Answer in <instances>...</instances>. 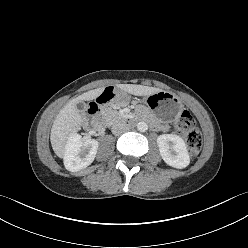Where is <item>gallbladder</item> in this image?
I'll list each match as a JSON object with an SVG mask.
<instances>
[{"instance_id": "bac80fb5", "label": "gallbladder", "mask_w": 248, "mask_h": 248, "mask_svg": "<svg viewBox=\"0 0 248 248\" xmlns=\"http://www.w3.org/2000/svg\"><path fill=\"white\" fill-rule=\"evenodd\" d=\"M77 108L80 110V111H84L85 109V103L84 102H79L77 104Z\"/></svg>"}]
</instances>
